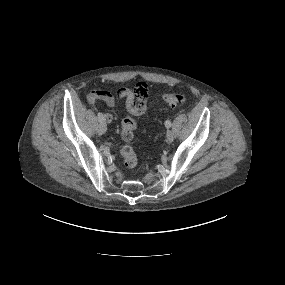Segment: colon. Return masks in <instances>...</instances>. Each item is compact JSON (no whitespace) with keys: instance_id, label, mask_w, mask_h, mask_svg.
I'll return each instance as SVG.
<instances>
[{"instance_id":"obj_1","label":"colon","mask_w":285,"mask_h":285,"mask_svg":"<svg viewBox=\"0 0 285 285\" xmlns=\"http://www.w3.org/2000/svg\"><path fill=\"white\" fill-rule=\"evenodd\" d=\"M147 85L144 82H139L135 87L136 94H141ZM163 100L171 105L178 106L186 103L187 98L183 93H170L162 96ZM137 129V121L131 116L125 117L121 122V137L125 144L121 148V155L124 164L127 168L133 169L138 164V157L134 148L131 146L130 141L134 137V133Z\"/></svg>"}]
</instances>
